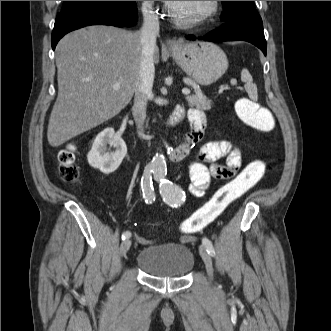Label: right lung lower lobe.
Here are the masks:
<instances>
[{
    "label": "right lung lower lobe",
    "instance_id": "1",
    "mask_svg": "<svg viewBox=\"0 0 331 331\" xmlns=\"http://www.w3.org/2000/svg\"><path fill=\"white\" fill-rule=\"evenodd\" d=\"M137 22L135 1H104L61 12L52 32V49L68 32L89 25L131 26Z\"/></svg>",
    "mask_w": 331,
    "mask_h": 331
}]
</instances>
